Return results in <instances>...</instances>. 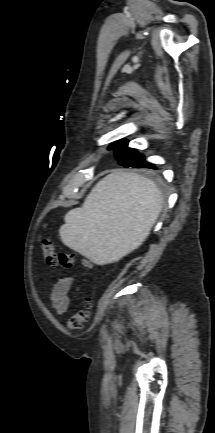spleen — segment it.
Listing matches in <instances>:
<instances>
[{"label": "spleen", "mask_w": 215, "mask_h": 433, "mask_svg": "<svg viewBox=\"0 0 215 433\" xmlns=\"http://www.w3.org/2000/svg\"><path fill=\"white\" fill-rule=\"evenodd\" d=\"M162 202L152 180L115 171L92 189L81 208L65 215L60 238L96 264L118 261L149 235Z\"/></svg>", "instance_id": "obj_1"}]
</instances>
